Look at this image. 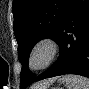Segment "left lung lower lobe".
Returning <instances> with one entry per match:
<instances>
[{
    "label": "left lung lower lobe",
    "instance_id": "left-lung-lower-lobe-1",
    "mask_svg": "<svg viewBox=\"0 0 89 89\" xmlns=\"http://www.w3.org/2000/svg\"><path fill=\"white\" fill-rule=\"evenodd\" d=\"M55 41L60 46L58 60L32 83L65 74L89 78V0H71Z\"/></svg>",
    "mask_w": 89,
    "mask_h": 89
}]
</instances>
